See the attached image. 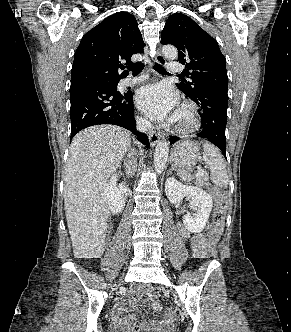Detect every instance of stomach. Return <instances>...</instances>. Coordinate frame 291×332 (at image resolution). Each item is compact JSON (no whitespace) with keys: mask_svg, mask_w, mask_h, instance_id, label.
Listing matches in <instances>:
<instances>
[{"mask_svg":"<svg viewBox=\"0 0 291 332\" xmlns=\"http://www.w3.org/2000/svg\"><path fill=\"white\" fill-rule=\"evenodd\" d=\"M199 158V147L194 142L179 141L174 145L171 161L176 168L188 169Z\"/></svg>","mask_w":291,"mask_h":332,"instance_id":"obj_1","label":"stomach"}]
</instances>
